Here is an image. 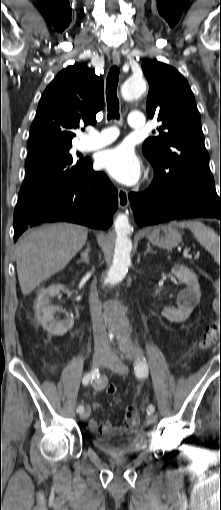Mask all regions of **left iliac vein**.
Segmentation results:
<instances>
[{"label": "left iliac vein", "mask_w": 221, "mask_h": 510, "mask_svg": "<svg viewBox=\"0 0 221 510\" xmlns=\"http://www.w3.org/2000/svg\"><path fill=\"white\" fill-rule=\"evenodd\" d=\"M127 356L134 357V354L130 353ZM103 365L108 366L111 370L121 375L128 373V367L114 353H110L108 355V359L103 363ZM156 421L157 416L155 414L151 413L146 415V422L148 424L153 425L156 423Z\"/></svg>", "instance_id": "1"}]
</instances>
